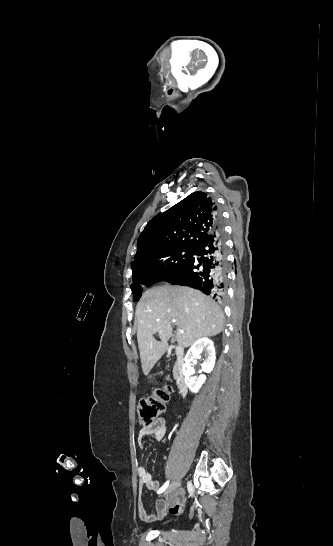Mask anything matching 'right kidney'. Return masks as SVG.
<instances>
[{
	"label": "right kidney",
	"mask_w": 333,
	"mask_h": 546,
	"mask_svg": "<svg viewBox=\"0 0 333 546\" xmlns=\"http://www.w3.org/2000/svg\"><path fill=\"white\" fill-rule=\"evenodd\" d=\"M203 349L206 350V357L201 364L202 371L205 373H210L215 365L216 353L213 341L206 337L199 339L190 347L185 356V363L182 366V373L185 376V383L190 391L194 393L199 391L202 384L206 380L205 375H200L197 380L192 378V375L195 373L192 362L200 356Z\"/></svg>",
	"instance_id": "ca27d5eb"
}]
</instances>
